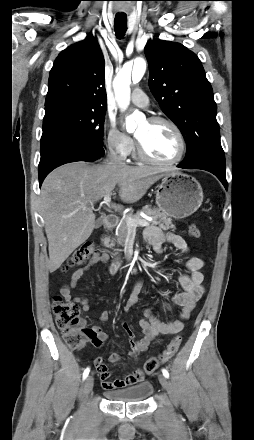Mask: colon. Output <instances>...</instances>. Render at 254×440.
I'll return each instance as SVG.
<instances>
[{"instance_id": "colon-1", "label": "colon", "mask_w": 254, "mask_h": 440, "mask_svg": "<svg viewBox=\"0 0 254 440\" xmlns=\"http://www.w3.org/2000/svg\"><path fill=\"white\" fill-rule=\"evenodd\" d=\"M189 233L194 238L201 236V231L197 225H191ZM95 254L96 249L94 245L92 243H84L70 255L66 265L67 267L81 265ZM52 308L56 324L63 334L64 341L71 349L81 348L94 336L93 329L87 327L84 319L80 317L79 307L75 303L61 296H56L53 299ZM180 344L181 337H174L162 353L151 357L145 362V373H154L161 364L170 360L177 353Z\"/></svg>"}]
</instances>
